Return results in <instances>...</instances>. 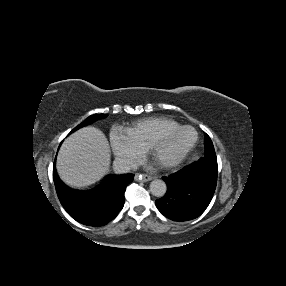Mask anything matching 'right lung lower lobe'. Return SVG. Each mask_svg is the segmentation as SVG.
<instances>
[{"instance_id": "obj_1", "label": "right lung lower lobe", "mask_w": 286, "mask_h": 286, "mask_svg": "<svg viewBox=\"0 0 286 286\" xmlns=\"http://www.w3.org/2000/svg\"><path fill=\"white\" fill-rule=\"evenodd\" d=\"M134 174L109 175L90 190L67 187L57 176L55 163L53 179L58 198L67 213L76 221L93 227L107 224L124 206V192Z\"/></svg>"}]
</instances>
